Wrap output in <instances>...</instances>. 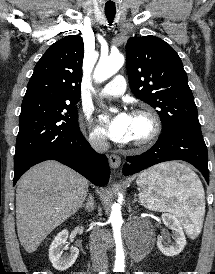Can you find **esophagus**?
Listing matches in <instances>:
<instances>
[{
	"instance_id": "esophagus-1",
	"label": "esophagus",
	"mask_w": 215,
	"mask_h": 274,
	"mask_svg": "<svg viewBox=\"0 0 215 274\" xmlns=\"http://www.w3.org/2000/svg\"><path fill=\"white\" fill-rule=\"evenodd\" d=\"M109 164L111 168L118 169L121 165V158L116 154H111L109 156Z\"/></svg>"
}]
</instances>
